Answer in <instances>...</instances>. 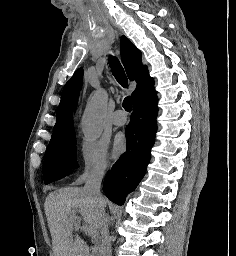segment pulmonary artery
Returning a JSON list of instances; mask_svg holds the SVG:
<instances>
[{
  "label": "pulmonary artery",
  "mask_w": 236,
  "mask_h": 256,
  "mask_svg": "<svg viewBox=\"0 0 236 256\" xmlns=\"http://www.w3.org/2000/svg\"><path fill=\"white\" fill-rule=\"evenodd\" d=\"M111 121L116 126H123L126 123L125 119H121V118H118V117H115V116L111 118Z\"/></svg>",
  "instance_id": "obj_1"
}]
</instances>
